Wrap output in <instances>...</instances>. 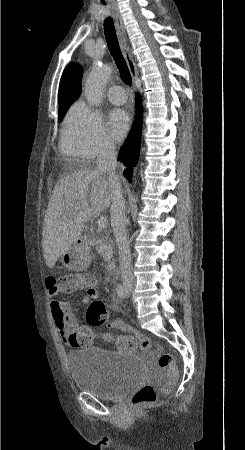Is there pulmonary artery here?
<instances>
[{
  "label": "pulmonary artery",
  "mask_w": 245,
  "mask_h": 450,
  "mask_svg": "<svg viewBox=\"0 0 245 450\" xmlns=\"http://www.w3.org/2000/svg\"><path fill=\"white\" fill-rule=\"evenodd\" d=\"M108 99L117 105H122L126 102V94L122 86L112 85L108 90Z\"/></svg>",
  "instance_id": "1"
}]
</instances>
